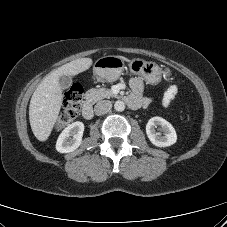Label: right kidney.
Segmentation results:
<instances>
[{"label": "right kidney", "instance_id": "ca27d5eb", "mask_svg": "<svg viewBox=\"0 0 227 227\" xmlns=\"http://www.w3.org/2000/svg\"><path fill=\"white\" fill-rule=\"evenodd\" d=\"M84 124L76 121L66 127L59 135L56 150L60 153H69L76 150L82 142Z\"/></svg>", "mask_w": 227, "mask_h": 227}]
</instances>
